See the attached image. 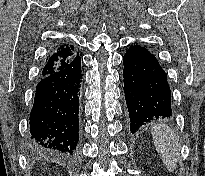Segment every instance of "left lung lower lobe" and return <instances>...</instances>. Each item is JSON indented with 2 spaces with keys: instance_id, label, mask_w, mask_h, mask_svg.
<instances>
[{
  "instance_id": "obj_1",
  "label": "left lung lower lobe",
  "mask_w": 205,
  "mask_h": 176,
  "mask_svg": "<svg viewBox=\"0 0 205 176\" xmlns=\"http://www.w3.org/2000/svg\"><path fill=\"white\" fill-rule=\"evenodd\" d=\"M123 63L131 133L152 120L172 116L167 75L156 57L145 47L132 45L125 53Z\"/></svg>"
}]
</instances>
